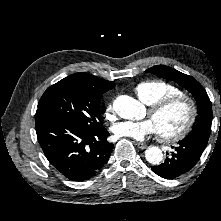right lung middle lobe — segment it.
Wrapping results in <instances>:
<instances>
[{
	"label": "right lung middle lobe",
	"instance_id": "right-lung-middle-lobe-1",
	"mask_svg": "<svg viewBox=\"0 0 221 221\" xmlns=\"http://www.w3.org/2000/svg\"><path fill=\"white\" fill-rule=\"evenodd\" d=\"M103 93L88 85L61 80L44 92L36 112L46 111L80 128L97 131L104 128L99 113Z\"/></svg>",
	"mask_w": 221,
	"mask_h": 221
}]
</instances>
